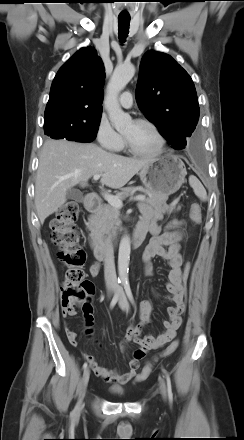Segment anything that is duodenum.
Masks as SVG:
<instances>
[{"instance_id":"410a0bca","label":"duodenum","mask_w":244,"mask_h":440,"mask_svg":"<svg viewBox=\"0 0 244 440\" xmlns=\"http://www.w3.org/2000/svg\"><path fill=\"white\" fill-rule=\"evenodd\" d=\"M84 205L87 211L93 213L99 209L101 201L96 195L90 194L86 197ZM147 232L148 230L145 227H137L131 239L132 244L134 246H140L144 241ZM112 242L115 243V239H113L111 242H103L98 240L92 241L93 253L97 260L103 261L110 255V244Z\"/></svg>"}]
</instances>
